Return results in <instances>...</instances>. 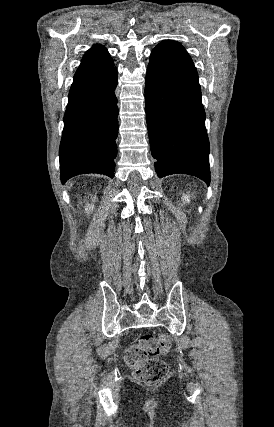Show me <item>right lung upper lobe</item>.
I'll list each match as a JSON object with an SVG mask.
<instances>
[{
    "label": "right lung upper lobe",
    "mask_w": 274,
    "mask_h": 427,
    "mask_svg": "<svg viewBox=\"0 0 274 427\" xmlns=\"http://www.w3.org/2000/svg\"><path fill=\"white\" fill-rule=\"evenodd\" d=\"M112 62L106 48L96 44L85 53L76 73L98 70Z\"/></svg>",
    "instance_id": "obj_1"
}]
</instances>
